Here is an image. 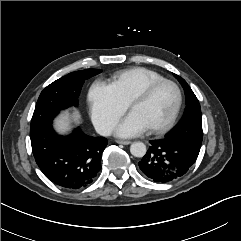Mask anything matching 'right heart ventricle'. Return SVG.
Wrapping results in <instances>:
<instances>
[{
	"label": "right heart ventricle",
	"instance_id": "1",
	"mask_svg": "<svg viewBox=\"0 0 241 241\" xmlns=\"http://www.w3.org/2000/svg\"><path fill=\"white\" fill-rule=\"evenodd\" d=\"M162 79L164 77L153 70L134 67L117 73L113 77L111 85L120 98L128 104L148 84Z\"/></svg>",
	"mask_w": 241,
	"mask_h": 241
}]
</instances>
